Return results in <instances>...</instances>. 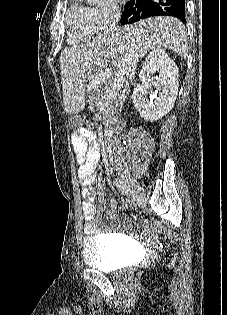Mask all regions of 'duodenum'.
I'll use <instances>...</instances> for the list:
<instances>
[{
  "label": "duodenum",
  "mask_w": 227,
  "mask_h": 315,
  "mask_svg": "<svg viewBox=\"0 0 227 315\" xmlns=\"http://www.w3.org/2000/svg\"><path fill=\"white\" fill-rule=\"evenodd\" d=\"M114 140H115V135L113 132H109L106 135V142H108L109 144L113 145L114 144Z\"/></svg>",
  "instance_id": "duodenum-1"
}]
</instances>
